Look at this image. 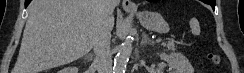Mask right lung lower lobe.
<instances>
[{"label": "right lung lower lobe", "instance_id": "98d812e1", "mask_svg": "<svg viewBox=\"0 0 244 73\" xmlns=\"http://www.w3.org/2000/svg\"><path fill=\"white\" fill-rule=\"evenodd\" d=\"M32 0H25V7L28 6V4L31 2Z\"/></svg>", "mask_w": 244, "mask_h": 73}]
</instances>
